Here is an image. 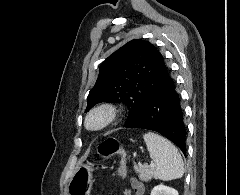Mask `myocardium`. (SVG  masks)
Listing matches in <instances>:
<instances>
[{
	"label": "myocardium",
	"mask_w": 240,
	"mask_h": 195,
	"mask_svg": "<svg viewBox=\"0 0 240 195\" xmlns=\"http://www.w3.org/2000/svg\"><path fill=\"white\" fill-rule=\"evenodd\" d=\"M117 110L109 103L101 104L90 110L85 118V127L98 131L108 126L116 117Z\"/></svg>",
	"instance_id": "obj_1"
}]
</instances>
